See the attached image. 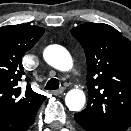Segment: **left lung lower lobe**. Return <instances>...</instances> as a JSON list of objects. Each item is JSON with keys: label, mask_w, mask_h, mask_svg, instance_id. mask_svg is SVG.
Segmentation results:
<instances>
[{"label": "left lung lower lobe", "mask_w": 131, "mask_h": 131, "mask_svg": "<svg viewBox=\"0 0 131 131\" xmlns=\"http://www.w3.org/2000/svg\"><path fill=\"white\" fill-rule=\"evenodd\" d=\"M75 120L77 123H79L85 130L87 131H98L95 128L88 125V123L85 121V119L80 115V113H76L74 115Z\"/></svg>", "instance_id": "obj_1"}]
</instances>
